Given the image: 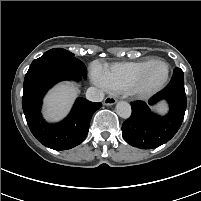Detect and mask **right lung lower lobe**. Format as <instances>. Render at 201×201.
Instances as JSON below:
<instances>
[{"instance_id":"obj_1","label":"right lung lower lobe","mask_w":201,"mask_h":201,"mask_svg":"<svg viewBox=\"0 0 201 201\" xmlns=\"http://www.w3.org/2000/svg\"><path fill=\"white\" fill-rule=\"evenodd\" d=\"M78 63L63 54H44L34 60L25 75L22 107L34 137L55 150L71 149L87 136L90 120L102 104L78 98L70 114L60 123H47L40 113L49 88L63 80H79L84 75ZM86 78V77H84Z\"/></svg>"}]
</instances>
